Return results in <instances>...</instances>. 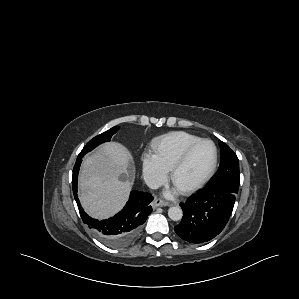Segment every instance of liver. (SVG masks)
<instances>
[{
  "label": "liver",
  "mask_w": 299,
  "mask_h": 299,
  "mask_svg": "<svg viewBox=\"0 0 299 299\" xmlns=\"http://www.w3.org/2000/svg\"><path fill=\"white\" fill-rule=\"evenodd\" d=\"M131 154L120 143L110 142L87 157L79 175V199L84 210L98 219L116 214L131 190Z\"/></svg>",
  "instance_id": "1"
}]
</instances>
